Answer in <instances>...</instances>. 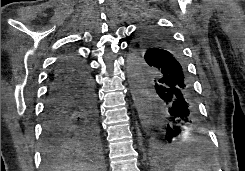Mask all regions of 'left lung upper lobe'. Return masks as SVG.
<instances>
[{
    "label": "left lung upper lobe",
    "mask_w": 245,
    "mask_h": 171,
    "mask_svg": "<svg viewBox=\"0 0 245 171\" xmlns=\"http://www.w3.org/2000/svg\"><path fill=\"white\" fill-rule=\"evenodd\" d=\"M132 47L138 61H148V56L159 49H178L169 34L149 26L141 28L132 41Z\"/></svg>",
    "instance_id": "left-lung-upper-lobe-1"
}]
</instances>
